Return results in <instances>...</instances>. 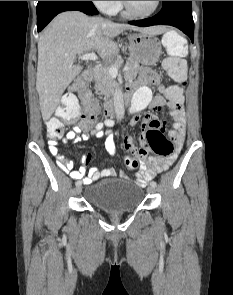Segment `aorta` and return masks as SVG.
<instances>
[{"instance_id":"aorta-1","label":"aorta","mask_w":233,"mask_h":295,"mask_svg":"<svg viewBox=\"0 0 233 295\" xmlns=\"http://www.w3.org/2000/svg\"><path fill=\"white\" fill-rule=\"evenodd\" d=\"M114 108L117 114L123 115L124 110V99H123V93L119 89L114 94Z\"/></svg>"}]
</instances>
